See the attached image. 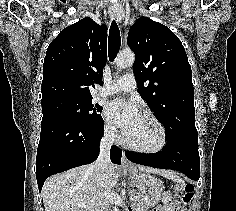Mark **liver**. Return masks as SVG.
I'll return each instance as SVG.
<instances>
[{
	"label": "liver",
	"instance_id": "liver-1",
	"mask_svg": "<svg viewBox=\"0 0 236 211\" xmlns=\"http://www.w3.org/2000/svg\"><path fill=\"white\" fill-rule=\"evenodd\" d=\"M141 171L173 178L174 174L165 170L139 166ZM119 168L111 164L103 183L110 190L117 185ZM107 189L97 180L96 173L89 166H80L46 180L42 189L45 211H97L100 202L105 200ZM111 195L107 197L109 205Z\"/></svg>",
	"mask_w": 236,
	"mask_h": 211
}]
</instances>
